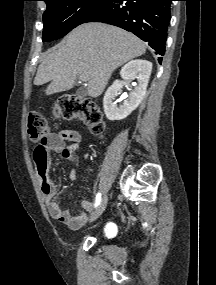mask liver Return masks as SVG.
I'll list each match as a JSON object with an SVG mask.
<instances>
[{
    "mask_svg": "<svg viewBox=\"0 0 216 285\" xmlns=\"http://www.w3.org/2000/svg\"><path fill=\"white\" fill-rule=\"evenodd\" d=\"M145 52L146 45L127 31L102 23L82 24L44 58L34 84L50 82L45 94L52 95L72 89L76 77L85 75L87 94L96 98L116 68Z\"/></svg>",
    "mask_w": 216,
    "mask_h": 285,
    "instance_id": "obj_1",
    "label": "liver"
}]
</instances>
